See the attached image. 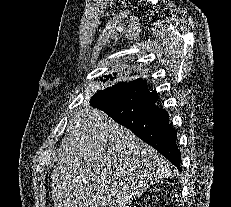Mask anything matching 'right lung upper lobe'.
I'll return each instance as SVG.
<instances>
[{
  "instance_id": "right-lung-upper-lobe-1",
  "label": "right lung upper lobe",
  "mask_w": 231,
  "mask_h": 207,
  "mask_svg": "<svg viewBox=\"0 0 231 207\" xmlns=\"http://www.w3.org/2000/svg\"><path fill=\"white\" fill-rule=\"evenodd\" d=\"M113 75L114 76H116L117 75V73H113ZM110 77V75L109 76H107V78H109ZM111 79H113L112 77H111Z\"/></svg>"
}]
</instances>
